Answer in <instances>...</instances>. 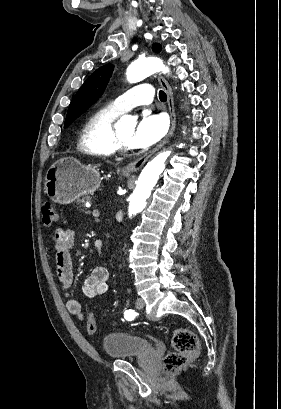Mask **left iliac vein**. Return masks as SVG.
<instances>
[{
	"label": "left iliac vein",
	"mask_w": 281,
	"mask_h": 409,
	"mask_svg": "<svg viewBox=\"0 0 281 409\" xmlns=\"http://www.w3.org/2000/svg\"><path fill=\"white\" fill-rule=\"evenodd\" d=\"M145 306V301L142 298H138L135 302V307L137 309H142Z\"/></svg>",
	"instance_id": "4c4485c4"
}]
</instances>
